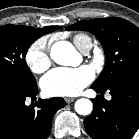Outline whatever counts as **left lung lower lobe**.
Wrapping results in <instances>:
<instances>
[{
    "label": "left lung lower lobe",
    "instance_id": "1",
    "mask_svg": "<svg viewBox=\"0 0 139 139\" xmlns=\"http://www.w3.org/2000/svg\"><path fill=\"white\" fill-rule=\"evenodd\" d=\"M97 93L109 90L110 101L98 96L84 126L93 139H130L139 128V69L117 79L107 89L91 86Z\"/></svg>",
    "mask_w": 139,
    "mask_h": 139
}]
</instances>
